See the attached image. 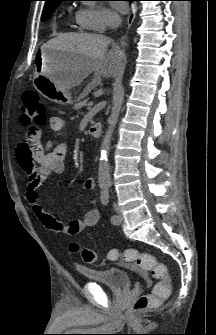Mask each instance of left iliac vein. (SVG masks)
Segmentation results:
<instances>
[{
  "mask_svg": "<svg viewBox=\"0 0 216 335\" xmlns=\"http://www.w3.org/2000/svg\"><path fill=\"white\" fill-rule=\"evenodd\" d=\"M114 208H115L116 216H117V221L114 224L119 225L123 222V216L120 212L119 207L116 204H114Z\"/></svg>",
  "mask_w": 216,
  "mask_h": 335,
  "instance_id": "4c4485c4",
  "label": "left iliac vein"
}]
</instances>
